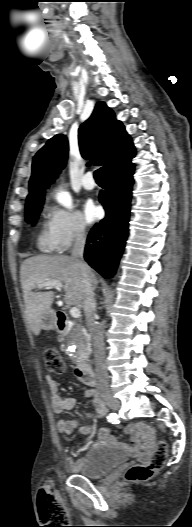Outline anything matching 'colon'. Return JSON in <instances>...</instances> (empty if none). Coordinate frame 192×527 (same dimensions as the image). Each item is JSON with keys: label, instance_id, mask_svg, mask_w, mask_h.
I'll use <instances>...</instances> for the list:
<instances>
[{"label": "colon", "instance_id": "colon-1", "mask_svg": "<svg viewBox=\"0 0 192 527\" xmlns=\"http://www.w3.org/2000/svg\"><path fill=\"white\" fill-rule=\"evenodd\" d=\"M44 360L47 369L55 374H62L65 370V363L57 348L49 346L43 351ZM167 458V444L160 441L148 464H137L131 466L125 474L126 479L130 481H146L151 479L165 464ZM56 505L61 513H66L62 506L55 504L53 487L51 483H46L39 495V507L41 512L44 511L47 504Z\"/></svg>", "mask_w": 192, "mask_h": 527}]
</instances>
